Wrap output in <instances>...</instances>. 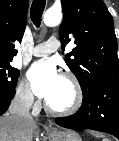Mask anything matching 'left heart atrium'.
Instances as JSON below:
<instances>
[{"instance_id":"obj_1","label":"left heart atrium","mask_w":119,"mask_h":141,"mask_svg":"<svg viewBox=\"0 0 119 141\" xmlns=\"http://www.w3.org/2000/svg\"><path fill=\"white\" fill-rule=\"evenodd\" d=\"M28 77L36 95L46 100L53 94L61 78L55 63L50 60L35 63Z\"/></svg>"}]
</instances>
